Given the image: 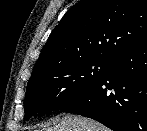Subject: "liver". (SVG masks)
Returning a JSON list of instances; mask_svg holds the SVG:
<instances>
[{"label":"liver","instance_id":"obj_1","mask_svg":"<svg viewBox=\"0 0 147 131\" xmlns=\"http://www.w3.org/2000/svg\"><path fill=\"white\" fill-rule=\"evenodd\" d=\"M45 131H108L99 122L77 115H66L53 127Z\"/></svg>","mask_w":147,"mask_h":131}]
</instances>
